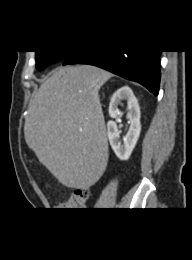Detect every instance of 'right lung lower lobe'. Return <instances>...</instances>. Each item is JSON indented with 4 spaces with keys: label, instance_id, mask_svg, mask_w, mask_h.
Instances as JSON below:
<instances>
[{
    "label": "right lung lower lobe",
    "instance_id": "98d812e1",
    "mask_svg": "<svg viewBox=\"0 0 192 260\" xmlns=\"http://www.w3.org/2000/svg\"><path fill=\"white\" fill-rule=\"evenodd\" d=\"M162 51L90 50L71 52L63 65L90 64L142 84L158 95Z\"/></svg>",
    "mask_w": 192,
    "mask_h": 260
}]
</instances>
